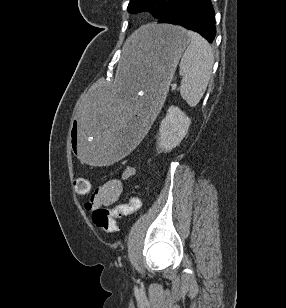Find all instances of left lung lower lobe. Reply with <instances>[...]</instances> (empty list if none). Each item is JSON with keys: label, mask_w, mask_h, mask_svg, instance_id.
Segmentation results:
<instances>
[{"label": "left lung lower lobe", "mask_w": 286, "mask_h": 308, "mask_svg": "<svg viewBox=\"0 0 286 308\" xmlns=\"http://www.w3.org/2000/svg\"><path fill=\"white\" fill-rule=\"evenodd\" d=\"M158 22L177 24L196 31L210 43L216 35L215 14L211 0H172Z\"/></svg>", "instance_id": "left-lung-lower-lobe-1"}]
</instances>
